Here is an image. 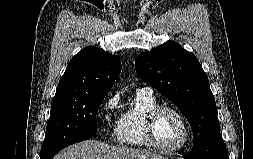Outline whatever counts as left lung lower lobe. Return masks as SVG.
<instances>
[{
    "label": "left lung lower lobe",
    "instance_id": "1",
    "mask_svg": "<svg viewBox=\"0 0 253 159\" xmlns=\"http://www.w3.org/2000/svg\"><path fill=\"white\" fill-rule=\"evenodd\" d=\"M185 159H197L195 155L192 154V152L186 154L184 156ZM206 159H229L228 158V154H227V150H226V147H225V144L222 143L220 145H218L216 148H215V151L214 153L206 158Z\"/></svg>",
    "mask_w": 253,
    "mask_h": 159
}]
</instances>
